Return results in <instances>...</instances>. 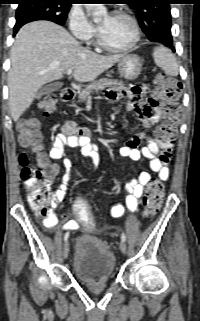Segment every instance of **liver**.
Returning a JSON list of instances; mask_svg holds the SVG:
<instances>
[{
    "mask_svg": "<svg viewBox=\"0 0 200 321\" xmlns=\"http://www.w3.org/2000/svg\"><path fill=\"white\" fill-rule=\"evenodd\" d=\"M123 55L102 56L80 45L63 27L50 21L24 25L11 49L8 73L9 106L17 121L30 107L37 91L61 79L68 69L79 82H91Z\"/></svg>",
    "mask_w": 200,
    "mask_h": 321,
    "instance_id": "obj_1",
    "label": "liver"
}]
</instances>
